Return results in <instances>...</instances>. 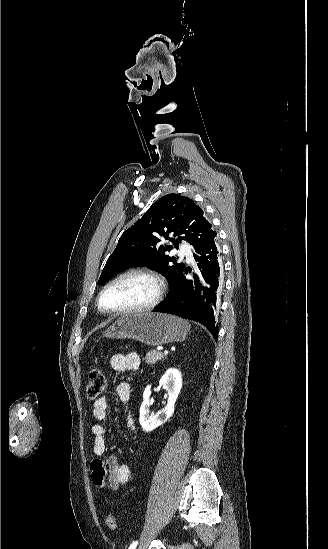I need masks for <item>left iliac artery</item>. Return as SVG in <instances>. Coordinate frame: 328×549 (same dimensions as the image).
<instances>
[{
  "instance_id": "1",
  "label": "left iliac artery",
  "mask_w": 328,
  "mask_h": 549,
  "mask_svg": "<svg viewBox=\"0 0 328 549\" xmlns=\"http://www.w3.org/2000/svg\"><path fill=\"white\" fill-rule=\"evenodd\" d=\"M137 544H138L137 541L133 542V543L130 545L129 549H135L136 546H137Z\"/></svg>"
}]
</instances>
